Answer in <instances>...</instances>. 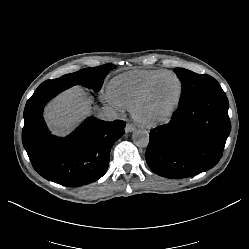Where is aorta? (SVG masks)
<instances>
[{"instance_id":"762f6f07","label":"aorta","mask_w":249,"mask_h":249,"mask_svg":"<svg viewBox=\"0 0 249 249\" xmlns=\"http://www.w3.org/2000/svg\"><path fill=\"white\" fill-rule=\"evenodd\" d=\"M133 143L140 148L148 146L149 143V134L145 130H136L132 134Z\"/></svg>"}]
</instances>
